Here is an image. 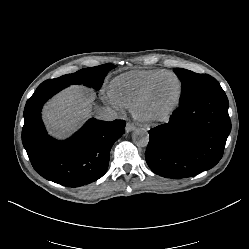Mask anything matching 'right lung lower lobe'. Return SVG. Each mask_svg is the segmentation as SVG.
I'll list each match as a JSON object with an SVG mask.
<instances>
[{
  "mask_svg": "<svg viewBox=\"0 0 249 249\" xmlns=\"http://www.w3.org/2000/svg\"><path fill=\"white\" fill-rule=\"evenodd\" d=\"M65 87L36 89L24 108L22 142L34 169L55 183L78 187L96 181L107 171L112 145L124 134L123 120L89 119L70 138L50 137L41 120L43 104Z\"/></svg>",
  "mask_w": 249,
  "mask_h": 249,
  "instance_id": "98d812e1",
  "label": "right lung lower lobe"
}]
</instances>
